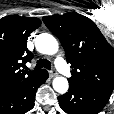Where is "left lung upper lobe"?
<instances>
[{"mask_svg": "<svg viewBox=\"0 0 114 114\" xmlns=\"http://www.w3.org/2000/svg\"><path fill=\"white\" fill-rule=\"evenodd\" d=\"M43 21L60 40L67 62L73 68L69 82L111 94L114 88V49L95 23L77 13L45 16Z\"/></svg>", "mask_w": 114, "mask_h": 114, "instance_id": "5c2ea615", "label": "left lung upper lobe"}]
</instances>
